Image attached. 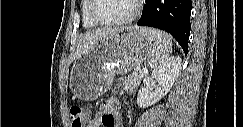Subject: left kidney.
<instances>
[{
    "label": "left kidney",
    "instance_id": "1",
    "mask_svg": "<svg viewBox=\"0 0 243 127\" xmlns=\"http://www.w3.org/2000/svg\"><path fill=\"white\" fill-rule=\"evenodd\" d=\"M180 70L181 58L179 56L169 58L164 64L153 70L152 78L158 83L156 89L155 91L148 87L140 89L137 95L138 106L141 108L151 106L164 97L179 76Z\"/></svg>",
    "mask_w": 243,
    "mask_h": 127
}]
</instances>
